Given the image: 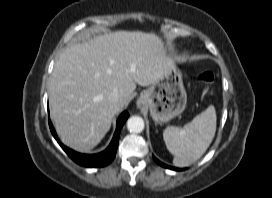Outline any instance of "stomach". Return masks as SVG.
Masks as SVG:
<instances>
[{"label": "stomach", "mask_w": 272, "mask_h": 198, "mask_svg": "<svg viewBox=\"0 0 272 198\" xmlns=\"http://www.w3.org/2000/svg\"><path fill=\"white\" fill-rule=\"evenodd\" d=\"M139 105L148 108L155 123H166L186 108L187 94L182 73L173 64L140 96Z\"/></svg>", "instance_id": "0dacf381"}]
</instances>
